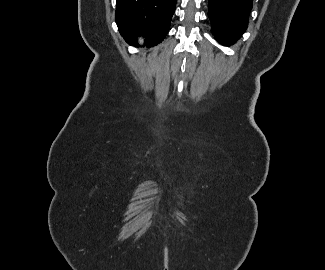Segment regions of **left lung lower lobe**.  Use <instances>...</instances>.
Here are the masks:
<instances>
[{"label":"left lung lower lobe","instance_id":"1","mask_svg":"<svg viewBox=\"0 0 325 270\" xmlns=\"http://www.w3.org/2000/svg\"><path fill=\"white\" fill-rule=\"evenodd\" d=\"M212 32L222 45L229 46L239 39L248 26L252 0H208Z\"/></svg>","mask_w":325,"mask_h":270}]
</instances>
